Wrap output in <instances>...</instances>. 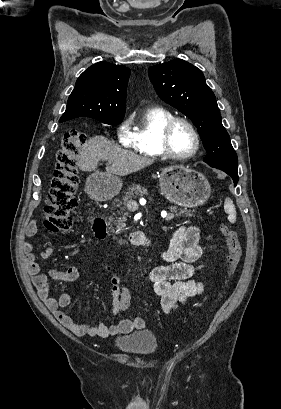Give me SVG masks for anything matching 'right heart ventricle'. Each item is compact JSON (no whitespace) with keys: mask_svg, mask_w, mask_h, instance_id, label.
<instances>
[{"mask_svg":"<svg viewBox=\"0 0 281 409\" xmlns=\"http://www.w3.org/2000/svg\"><path fill=\"white\" fill-rule=\"evenodd\" d=\"M174 114L164 108H152L135 125L128 145L130 150L145 158L165 157L160 147V136L165 124Z\"/></svg>","mask_w":281,"mask_h":409,"instance_id":"e07e8e85","label":"right heart ventricle"}]
</instances>
